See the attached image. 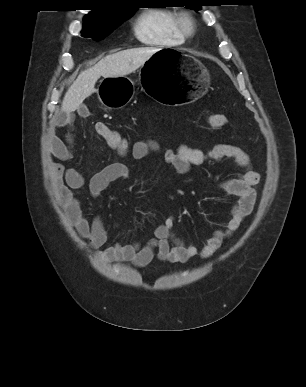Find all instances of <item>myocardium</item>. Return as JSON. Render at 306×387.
I'll list each match as a JSON object with an SVG mask.
<instances>
[{"mask_svg": "<svg viewBox=\"0 0 306 387\" xmlns=\"http://www.w3.org/2000/svg\"><path fill=\"white\" fill-rule=\"evenodd\" d=\"M178 24L185 36H191L196 29V23L193 16L187 12L180 13L178 16Z\"/></svg>", "mask_w": 306, "mask_h": 387, "instance_id": "f54148a6", "label": "myocardium"}]
</instances>
